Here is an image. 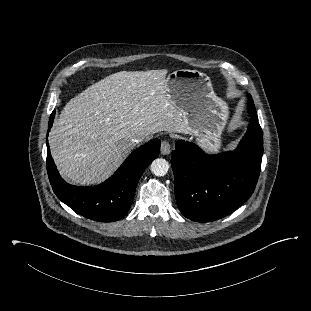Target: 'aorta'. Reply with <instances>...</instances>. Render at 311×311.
<instances>
[{
	"instance_id": "aorta-1",
	"label": "aorta",
	"mask_w": 311,
	"mask_h": 311,
	"mask_svg": "<svg viewBox=\"0 0 311 311\" xmlns=\"http://www.w3.org/2000/svg\"><path fill=\"white\" fill-rule=\"evenodd\" d=\"M151 172L156 176H165L169 170V163L162 158H157L151 163Z\"/></svg>"
}]
</instances>
